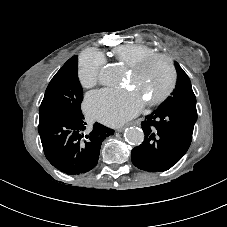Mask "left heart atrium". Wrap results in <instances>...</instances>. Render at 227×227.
<instances>
[{"mask_svg":"<svg viewBox=\"0 0 227 227\" xmlns=\"http://www.w3.org/2000/svg\"><path fill=\"white\" fill-rule=\"evenodd\" d=\"M143 105L144 100L137 92L102 89L89 93L84 107L91 117L117 126L137 115Z\"/></svg>","mask_w":227,"mask_h":227,"instance_id":"1","label":"left heart atrium"}]
</instances>
